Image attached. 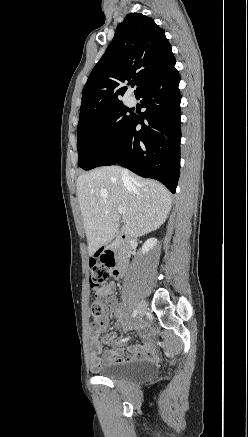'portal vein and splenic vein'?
I'll return each instance as SVG.
<instances>
[{"instance_id":"1","label":"portal vein and splenic vein","mask_w":248,"mask_h":437,"mask_svg":"<svg viewBox=\"0 0 248 437\" xmlns=\"http://www.w3.org/2000/svg\"><path fill=\"white\" fill-rule=\"evenodd\" d=\"M118 212L120 214H122L123 216H125V214H126V210L123 207H118Z\"/></svg>"}]
</instances>
